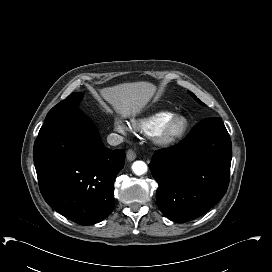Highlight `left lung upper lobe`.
I'll return each instance as SVG.
<instances>
[{
  "label": "left lung upper lobe",
  "instance_id": "1",
  "mask_svg": "<svg viewBox=\"0 0 272 272\" xmlns=\"http://www.w3.org/2000/svg\"><path fill=\"white\" fill-rule=\"evenodd\" d=\"M189 94L200 104L205 105L202 101H200L192 92H189Z\"/></svg>",
  "mask_w": 272,
  "mask_h": 272
}]
</instances>
